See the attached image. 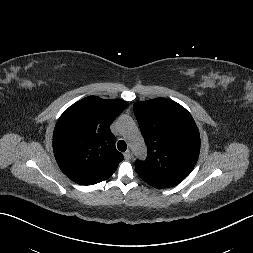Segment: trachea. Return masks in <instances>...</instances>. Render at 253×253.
Masks as SVG:
<instances>
[{"label": "trachea", "instance_id": "3493384b", "mask_svg": "<svg viewBox=\"0 0 253 253\" xmlns=\"http://www.w3.org/2000/svg\"><path fill=\"white\" fill-rule=\"evenodd\" d=\"M117 148H118V150L121 151V152L126 151V149H127V144H126V142H125L124 140L118 141V143H117Z\"/></svg>", "mask_w": 253, "mask_h": 253}]
</instances>
